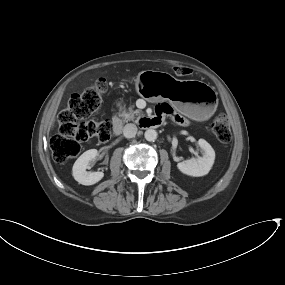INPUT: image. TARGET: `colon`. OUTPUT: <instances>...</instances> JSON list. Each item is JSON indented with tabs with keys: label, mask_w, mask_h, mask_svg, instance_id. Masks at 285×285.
I'll list each match as a JSON object with an SVG mask.
<instances>
[{
	"label": "colon",
	"mask_w": 285,
	"mask_h": 285,
	"mask_svg": "<svg viewBox=\"0 0 285 285\" xmlns=\"http://www.w3.org/2000/svg\"><path fill=\"white\" fill-rule=\"evenodd\" d=\"M174 73L177 77H188L192 74V69L176 67ZM106 89V81L99 78L92 86L74 93L67 107L60 112L58 130L50 138V147L58 163H65L76 157L81 150V143L90 138L96 137L102 142L110 139L113 129L111 121L88 120L99 108ZM177 119L184 123L182 118ZM211 130L218 141L227 143L231 140L230 123L225 115L221 114L214 119Z\"/></svg>",
	"instance_id": "colon-1"
}]
</instances>
